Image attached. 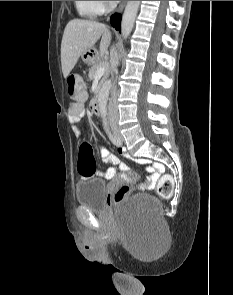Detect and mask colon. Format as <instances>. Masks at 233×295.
Here are the masks:
<instances>
[{
  "instance_id": "5ec220e1",
  "label": "colon",
  "mask_w": 233,
  "mask_h": 295,
  "mask_svg": "<svg viewBox=\"0 0 233 295\" xmlns=\"http://www.w3.org/2000/svg\"><path fill=\"white\" fill-rule=\"evenodd\" d=\"M66 96L74 102L82 101L86 98L85 83L81 77L77 75H70L66 82ZM78 172L82 177L88 178L95 174L96 163L93 156L92 147L85 142L80 146ZM174 183L169 175L163 176L158 183V194L163 199H168L173 193ZM129 191L127 185L120 187L114 194L113 200L115 202L121 201L126 193Z\"/></svg>"
}]
</instances>
